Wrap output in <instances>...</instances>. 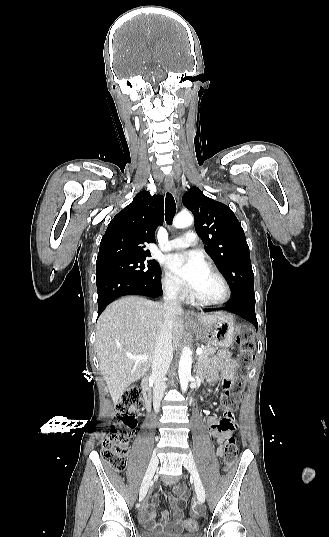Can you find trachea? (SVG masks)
<instances>
[{
    "label": "trachea",
    "mask_w": 329,
    "mask_h": 537,
    "mask_svg": "<svg viewBox=\"0 0 329 537\" xmlns=\"http://www.w3.org/2000/svg\"><path fill=\"white\" fill-rule=\"evenodd\" d=\"M176 212V204L173 195L168 192L165 201V220L167 224H171Z\"/></svg>",
    "instance_id": "1"
}]
</instances>
